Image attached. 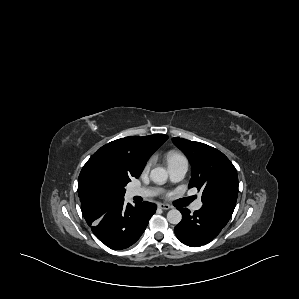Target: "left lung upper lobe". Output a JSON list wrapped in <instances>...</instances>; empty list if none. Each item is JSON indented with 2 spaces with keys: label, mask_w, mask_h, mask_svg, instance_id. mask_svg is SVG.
<instances>
[{
  "label": "left lung upper lobe",
  "mask_w": 299,
  "mask_h": 299,
  "mask_svg": "<svg viewBox=\"0 0 299 299\" xmlns=\"http://www.w3.org/2000/svg\"><path fill=\"white\" fill-rule=\"evenodd\" d=\"M172 140L191 163L189 187L202 191L201 209L228 222L238 196V176L234 165L222 152L209 145L183 138Z\"/></svg>",
  "instance_id": "1"
}]
</instances>
